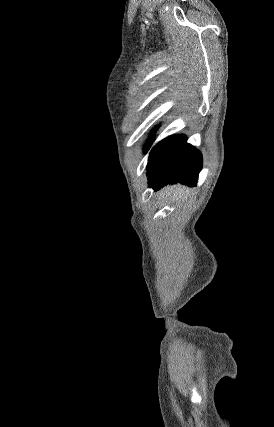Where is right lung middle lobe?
I'll use <instances>...</instances> for the list:
<instances>
[{
  "instance_id": "right-lung-middle-lobe-1",
  "label": "right lung middle lobe",
  "mask_w": 274,
  "mask_h": 427,
  "mask_svg": "<svg viewBox=\"0 0 274 427\" xmlns=\"http://www.w3.org/2000/svg\"><path fill=\"white\" fill-rule=\"evenodd\" d=\"M153 139H154V136H152V137L149 139V141H148V143H147V147H149V146H150V144L152 143Z\"/></svg>"
}]
</instances>
